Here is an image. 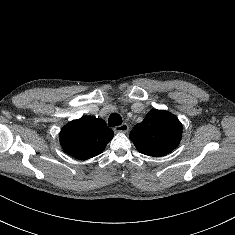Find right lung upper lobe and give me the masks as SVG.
Segmentation results:
<instances>
[{"label":"right lung upper lobe","mask_w":235,"mask_h":235,"mask_svg":"<svg viewBox=\"0 0 235 235\" xmlns=\"http://www.w3.org/2000/svg\"><path fill=\"white\" fill-rule=\"evenodd\" d=\"M113 136L105 121L84 116L61 129L60 143L67 154L78 159H89L102 153Z\"/></svg>","instance_id":"cb5924a9"}]
</instances>
